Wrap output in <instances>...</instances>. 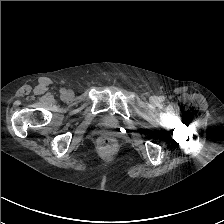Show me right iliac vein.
<instances>
[{
  "instance_id": "63e3f726",
  "label": "right iliac vein",
  "mask_w": 224,
  "mask_h": 224,
  "mask_svg": "<svg viewBox=\"0 0 224 224\" xmlns=\"http://www.w3.org/2000/svg\"><path fill=\"white\" fill-rule=\"evenodd\" d=\"M66 96H67L68 98H72V97H73V92H72L71 90L67 91V92H66Z\"/></svg>"
}]
</instances>
